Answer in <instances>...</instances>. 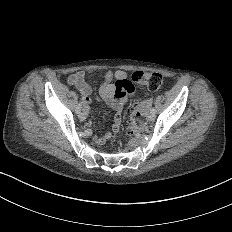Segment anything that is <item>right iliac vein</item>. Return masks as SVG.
I'll list each match as a JSON object with an SVG mask.
<instances>
[{
	"mask_svg": "<svg viewBox=\"0 0 232 232\" xmlns=\"http://www.w3.org/2000/svg\"><path fill=\"white\" fill-rule=\"evenodd\" d=\"M78 120H79L80 122H83V121L85 120V114H84V113H79V114H78Z\"/></svg>",
	"mask_w": 232,
	"mask_h": 232,
	"instance_id": "obj_1",
	"label": "right iliac vein"
}]
</instances>
